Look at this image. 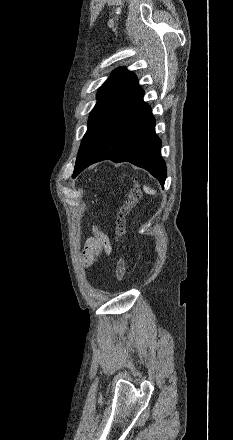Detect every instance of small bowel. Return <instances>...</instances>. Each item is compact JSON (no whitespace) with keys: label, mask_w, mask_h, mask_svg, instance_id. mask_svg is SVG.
Returning a JSON list of instances; mask_svg holds the SVG:
<instances>
[{"label":"small bowel","mask_w":233,"mask_h":440,"mask_svg":"<svg viewBox=\"0 0 233 440\" xmlns=\"http://www.w3.org/2000/svg\"><path fill=\"white\" fill-rule=\"evenodd\" d=\"M112 252V245L109 237L99 229L95 228L93 235L85 242L82 263L84 266L93 265L102 255H109Z\"/></svg>","instance_id":"c3829d8e"}]
</instances>
